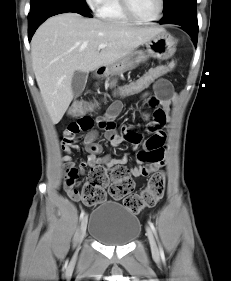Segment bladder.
Instances as JSON below:
<instances>
[{
  "label": "bladder",
  "mask_w": 231,
  "mask_h": 281,
  "mask_svg": "<svg viewBox=\"0 0 231 281\" xmlns=\"http://www.w3.org/2000/svg\"><path fill=\"white\" fill-rule=\"evenodd\" d=\"M141 232L138 217L117 202H104L92 211L88 233L107 246H123L133 242Z\"/></svg>",
  "instance_id": "bladder-1"
}]
</instances>
